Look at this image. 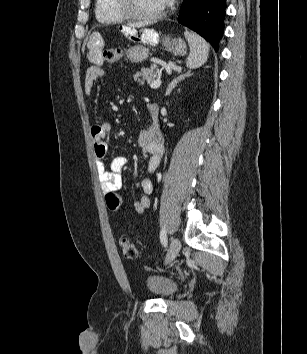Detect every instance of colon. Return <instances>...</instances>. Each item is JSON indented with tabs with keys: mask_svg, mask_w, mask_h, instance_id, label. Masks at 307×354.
Returning a JSON list of instances; mask_svg holds the SVG:
<instances>
[{
	"mask_svg": "<svg viewBox=\"0 0 307 354\" xmlns=\"http://www.w3.org/2000/svg\"><path fill=\"white\" fill-rule=\"evenodd\" d=\"M122 52L117 48H109L104 50L103 58L109 63H116L121 59ZM120 246L123 255L127 259H135L137 257V250L131 239L124 237L120 241Z\"/></svg>",
	"mask_w": 307,
	"mask_h": 354,
	"instance_id": "5ec220e1",
	"label": "colon"
}]
</instances>
